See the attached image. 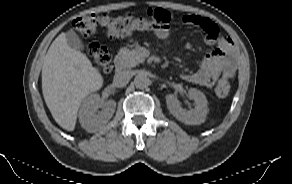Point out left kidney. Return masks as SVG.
I'll return each instance as SVG.
<instances>
[{
    "mask_svg": "<svg viewBox=\"0 0 292 184\" xmlns=\"http://www.w3.org/2000/svg\"><path fill=\"white\" fill-rule=\"evenodd\" d=\"M188 95L190 99L194 100L195 108L190 110L183 109L180 106L177 97L173 94L166 96L167 108L179 121L187 125H199L206 119L208 113V101L205 95L195 88L189 89Z\"/></svg>",
    "mask_w": 292,
    "mask_h": 184,
    "instance_id": "left-kidney-1",
    "label": "left kidney"
}]
</instances>
